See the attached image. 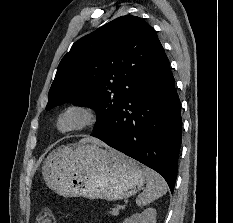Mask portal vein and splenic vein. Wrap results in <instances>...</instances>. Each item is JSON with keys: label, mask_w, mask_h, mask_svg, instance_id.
I'll return each instance as SVG.
<instances>
[{"label": "portal vein and splenic vein", "mask_w": 233, "mask_h": 223, "mask_svg": "<svg viewBox=\"0 0 233 223\" xmlns=\"http://www.w3.org/2000/svg\"><path fill=\"white\" fill-rule=\"evenodd\" d=\"M113 215H118V211H116V213H113Z\"/></svg>", "instance_id": "1"}]
</instances>
